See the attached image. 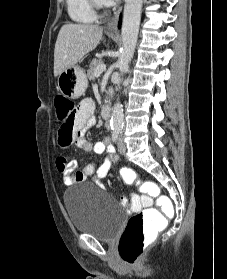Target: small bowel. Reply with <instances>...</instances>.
I'll list each match as a JSON object with an SVG mask.
<instances>
[{
  "mask_svg": "<svg viewBox=\"0 0 227 279\" xmlns=\"http://www.w3.org/2000/svg\"><path fill=\"white\" fill-rule=\"evenodd\" d=\"M95 108V102L91 98L83 99L76 113V125L79 129L74 132L70 138L59 139V143L62 147L67 148L71 142H74L80 149L91 151L98 155L103 154L104 161L99 166L94 163H89L83 169L76 170L77 162L75 160H71L67 157H59L56 161V167L66 186L88 179H91L95 183H100L106 176L109 166L117 160V156L114 148L110 144V138L108 136L102 141L94 143L86 140L84 137L86 129L92 127L96 123L94 115ZM127 169L130 168L122 169L121 173ZM122 204L128 206L133 211H139L142 208L150 206L152 200L150 197L141 198L138 195L131 194L129 197H125L122 200Z\"/></svg>",
  "mask_w": 227,
  "mask_h": 279,
  "instance_id": "obj_1",
  "label": "small bowel"
}]
</instances>
